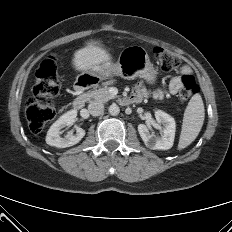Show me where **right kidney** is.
<instances>
[{
  "label": "right kidney",
  "instance_id": "ca27d5eb",
  "mask_svg": "<svg viewBox=\"0 0 232 232\" xmlns=\"http://www.w3.org/2000/svg\"><path fill=\"white\" fill-rule=\"evenodd\" d=\"M77 116L76 110H70L63 114L48 130L46 136V143L50 146H55L57 148H66L73 146L85 136V130L80 127L76 128L75 135H66L61 137V129L66 126H71Z\"/></svg>",
  "mask_w": 232,
  "mask_h": 232
}]
</instances>
